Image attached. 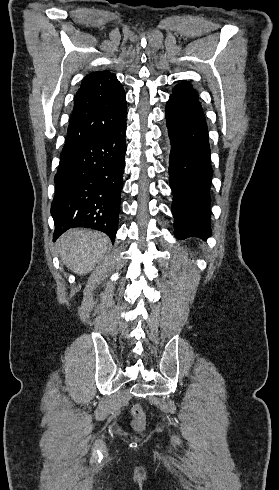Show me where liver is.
<instances>
[{"mask_svg":"<svg viewBox=\"0 0 279 490\" xmlns=\"http://www.w3.org/2000/svg\"><path fill=\"white\" fill-rule=\"evenodd\" d=\"M58 252L66 268L74 274H89L103 260L109 246V238L103 232L92 230H68L57 242Z\"/></svg>","mask_w":279,"mask_h":490,"instance_id":"liver-1","label":"liver"}]
</instances>
